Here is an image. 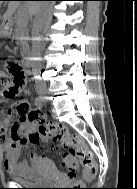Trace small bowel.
<instances>
[{"instance_id": "obj_1", "label": "small bowel", "mask_w": 137, "mask_h": 189, "mask_svg": "<svg viewBox=\"0 0 137 189\" xmlns=\"http://www.w3.org/2000/svg\"><path fill=\"white\" fill-rule=\"evenodd\" d=\"M22 84L20 88L22 87ZM2 103L3 100L0 99V107L2 106ZM25 106H29L26 101L18 103L14 108L9 109L7 114L0 119V143L2 144L4 153L3 164L8 173L12 171H20L22 174H24L29 168L25 161H19L22 145L26 142L15 140L12 137L11 130L10 134L8 135L11 115L14 112H17L18 114V122H20L25 128L30 126V123L25 119L24 112L20 110ZM30 158L31 160H35L37 156L36 154L32 153L30 154Z\"/></svg>"}]
</instances>
